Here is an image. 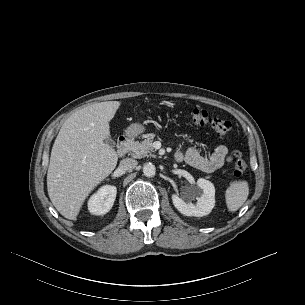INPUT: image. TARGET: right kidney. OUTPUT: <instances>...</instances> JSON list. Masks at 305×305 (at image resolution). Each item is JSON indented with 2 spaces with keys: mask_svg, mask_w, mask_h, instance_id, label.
<instances>
[{
  "mask_svg": "<svg viewBox=\"0 0 305 305\" xmlns=\"http://www.w3.org/2000/svg\"><path fill=\"white\" fill-rule=\"evenodd\" d=\"M117 194L115 186L105 185L88 201V210L94 215H104L112 208Z\"/></svg>",
  "mask_w": 305,
  "mask_h": 305,
  "instance_id": "obj_1",
  "label": "right kidney"
}]
</instances>
